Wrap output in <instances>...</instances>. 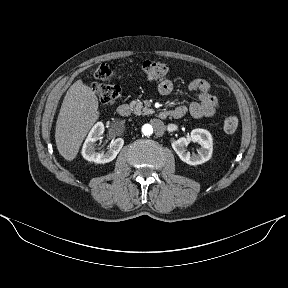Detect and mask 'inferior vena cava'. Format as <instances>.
Segmentation results:
<instances>
[{"label": "inferior vena cava", "mask_w": 288, "mask_h": 288, "mask_svg": "<svg viewBox=\"0 0 288 288\" xmlns=\"http://www.w3.org/2000/svg\"><path fill=\"white\" fill-rule=\"evenodd\" d=\"M149 123L155 128L154 135L156 137H161L165 133L166 125L159 118L152 117Z\"/></svg>", "instance_id": "602c4592"}]
</instances>
